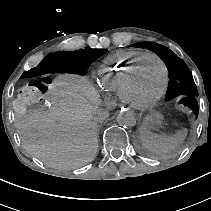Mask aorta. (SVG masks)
Wrapping results in <instances>:
<instances>
[{
    "mask_svg": "<svg viewBox=\"0 0 211 211\" xmlns=\"http://www.w3.org/2000/svg\"><path fill=\"white\" fill-rule=\"evenodd\" d=\"M117 122L123 127H133L136 125V118L131 111H123L118 114Z\"/></svg>",
    "mask_w": 211,
    "mask_h": 211,
    "instance_id": "762f6f07",
    "label": "aorta"
}]
</instances>
